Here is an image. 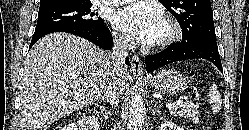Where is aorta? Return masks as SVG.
<instances>
[{
  "instance_id": "obj_1",
  "label": "aorta",
  "mask_w": 249,
  "mask_h": 130,
  "mask_svg": "<svg viewBox=\"0 0 249 130\" xmlns=\"http://www.w3.org/2000/svg\"><path fill=\"white\" fill-rule=\"evenodd\" d=\"M145 106L142 97L134 93L130 102L127 130H143Z\"/></svg>"
}]
</instances>
